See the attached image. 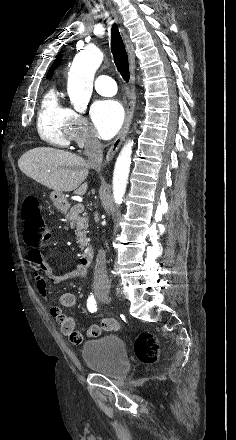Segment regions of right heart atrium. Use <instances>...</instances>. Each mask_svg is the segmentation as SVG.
<instances>
[{"instance_id":"right-heart-atrium-1","label":"right heart atrium","mask_w":236,"mask_h":440,"mask_svg":"<svg viewBox=\"0 0 236 440\" xmlns=\"http://www.w3.org/2000/svg\"><path fill=\"white\" fill-rule=\"evenodd\" d=\"M71 141H74L80 148L92 150L98 146L88 119L73 110L70 114Z\"/></svg>"}]
</instances>
